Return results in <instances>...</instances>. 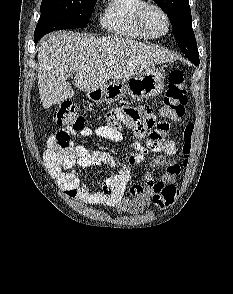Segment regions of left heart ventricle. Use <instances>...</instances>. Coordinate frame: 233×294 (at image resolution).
Here are the masks:
<instances>
[{
	"label": "left heart ventricle",
	"instance_id": "left-heart-ventricle-1",
	"mask_svg": "<svg viewBox=\"0 0 233 294\" xmlns=\"http://www.w3.org/2000/svg\"><path fill=\"white\" fill-rule=\"evenodd\" d=\"M147 21L150 28L155 33H162L166 29V23L161 14L156 11H150L147 15Z\"/></svg>",
	"mask_w": 233,
	"mask_h": 294
}]
</instances>
